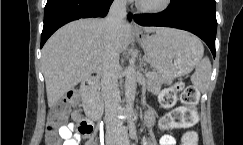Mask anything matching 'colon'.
<instances>
[{
  "label": "colon",
  "instance_id": "colon-1",
  "mask_svg": "<svg viewBox=\"0 0 243 145\" xmlns=\"http://www.w3.org/2000/svg\"><path fill=\"white\" fill-rule=\"evenodd\" d=\"M177 93H181L182 106L174 108L160 119L159 125L162 129L191 128L196 124L197 114L194 107L198 101L199 92L194 86H185L182 81L176 82L171 89L161 95V105L166 108L172 107ZM75 102L76 94L70 91L49 113L45 134L46 145H62L59 131L68 119L71 106ZM76 126L81 134H88L92 131L91 123L82 117L77 118ZM182 145H198L197 134L193 131L185 133Z\"/></svg>",
  "mask_w": 243,
  "mask_h": 145
}]
</instances>
